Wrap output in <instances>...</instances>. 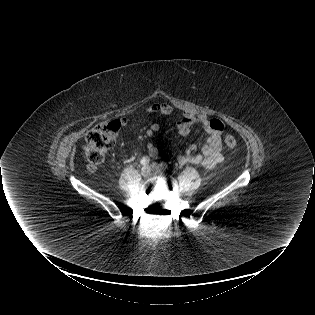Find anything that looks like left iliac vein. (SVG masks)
<instances>
[{"mask_svg":"<svg viewBox=\"0 0 315 315\" xmlns=\"http://www.w3.org/2000/svg\"><path fill=\"white\" fill-rule=\"evenodd\" d=\"M157 167V165L156 164H153V168L155 169Z\"/></svg>","mask_w":315,"mask_h":315,"instance_id":"1","label":"left iliac vein"}]
</instances>
